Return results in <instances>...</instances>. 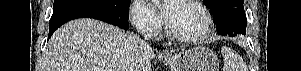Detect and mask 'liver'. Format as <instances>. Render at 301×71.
I'll return each mask as SVG.
<instances>
[{
  "mask_svg": "<svg viewBox=\"0 0 301 71\" xmlns=\"http://www.w3.org/2000/svg\"><path fill=\"white\" fill-rule=\"evenodd\" d=\"M153 49L137 35L98 20L59 28L44 53L43 71H152Z\"/></svg>",
  "mask_w": 301,
  "mask_h": 71,
  "instance_id": "6515ba94",
  "label": "liver"
}]
</instances>
